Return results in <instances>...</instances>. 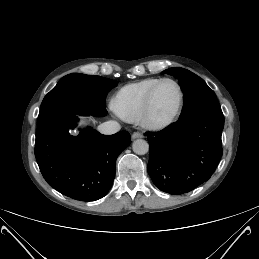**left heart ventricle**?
Wrapping results in <instances>:
<instances>
[{
    "mask_svg": "<svg viewBox=\"0 0 259 259\" xmlns=\"http://www.w3.org/2000/svg\"><path fill=\"white\" fill-rule=\"evenodd\" d=\"M177 104V88L170 82L162 83L154 95L152 117L155 120H165L169 118L176 110Z\"/></svg>",
    "mask_w": 259,
    "mask_h": 259,
    "instance_id": "obj_1",
    "label": "left heart ventricle"
}]
</instances>
